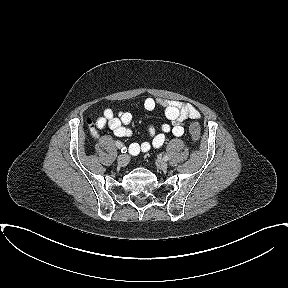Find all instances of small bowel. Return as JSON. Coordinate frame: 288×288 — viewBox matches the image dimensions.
Here are the masks:
<instances>
[{
  "label": "small bowel",
  "mask_w": 288,
  "mask_h": 288,
  "mask_svg": "<svg viewBox=\"0 0 288 288\" xmlns=\"http://www.w3.org/2000/svg\"><path fill=\"white\" fill-rule=\"evenodd\" d=\"M144 108L148 111H153L156 108H161L164 111L166 118L171 122L170 124L164 123L161 126L160 132L155 128L148 129L151 137L150 141L141 143H132L129 146V151L133 155L140 152H148L152 148L158 149L163 146L166 140V135L171 133L176 137L184 134V122L186 119H196L200 117V113L196 107L190 103L167 100V99H154L147 98L144 101ZM132 115L129 112L122 111L115 115L112 109L105 108L102 116L96 119V126L98 128L108 127L117 137H125L131 135V130L127 125L131 122Z\"/></svg>",
  "instance_id": "small-bowel-1"
}]
</instances>
